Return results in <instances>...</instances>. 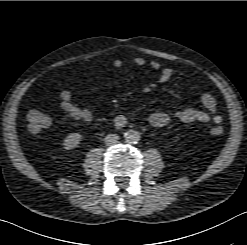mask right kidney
<instances>
[{"label":"right kidney","mask_w":247,"mask_h":245,"mask_svg":"<svg viewBox=\"0 0 247 245\" xmlns=\"http://www.w3.org/2000/svg\"><path fill=\"white\" fill-rule=\"evenodd\" d=\"M81 134L79 133H70L64 139L63 145L66 150H72L77 148L81 142Z\"/></svg>","instance_id":"ca27d5eb"}]
</instances>
